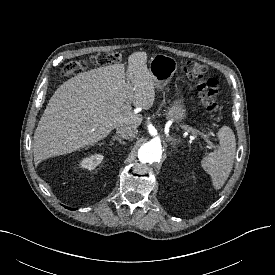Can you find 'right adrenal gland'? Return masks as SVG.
Masks as SVG:
<instances>
[{
    "label": "right adrenal gland",
    "mask_w": 275,
    "mask_h": 275,
    "mask_svg": "<svg viewBox=\"0 0 275 275\" xmlns=\"http://www.w3.org/2000/svg\"><path fill=\"white\" fill-rule=\"evenodd\" d=\"M112 140H113V141L117 140L120 144H123V145L126 144V142H125V141H122V139L119 138L118 136H113V137H112Z\"/></svg>",
    "instance_id": "1"
}]
</instances>
